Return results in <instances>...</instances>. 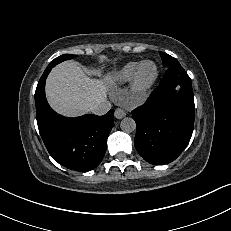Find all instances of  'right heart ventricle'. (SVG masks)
<instances>
[{"mask_svg":"<svg viewBox=\"0 0 231 231\" xmlns=\"http://www.w3.org/2000/svg\"><path fill=\"white\" fill-rule=\"evenodd\" d=\"M141 62H130L119 69L115 74V80L120 84H125L133 79V76Z\"/></svg>","mask_w":231,"mask_h":231,"instance_id":"e07e8e85","label":"right heart ventricle"}]
</instances>
